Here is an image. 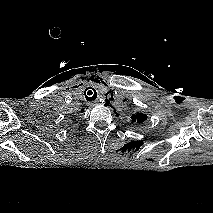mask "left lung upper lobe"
Returning a JSON list of instances; mask_svg holds the SVG:
<instances>
[{"mask_svg":"<svg viewBox=\"0 0 213 213\" xmlns=\"http://www.w3.org/2000/svg\"><path fill=\"white\" fill-rule=\"evenodd\" d=\"M132 122L135 123H142L147 119V115L143 114V113H138V114H133L131 116Z\"/></svg>","mask_w":213,"mask_h":213,"instance_id":"left-lung-upper-lobe-1","label":"left lung upper lobe"}]
</instances>
